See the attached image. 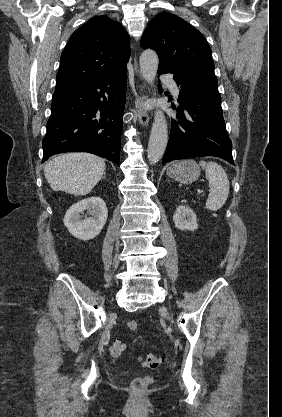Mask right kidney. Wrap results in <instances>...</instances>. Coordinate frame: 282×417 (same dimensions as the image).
Here are the masks:
<instances>
[{
    "label": "right kidney",
    "instance_id": "ca27d5eb",
    "mask_svg": "<svg viewBox=\"0 0 282 417\" xmlns=\"http://www.w3.org/2000/svg\"><path fill=\"white\" fill-rule=\"evenodd\" d=\"M87 211L91 215L90 219H81L80 213ZM108 217L107 206L100 196H89L79 202H75L69 209L63 219L65 227L69 233L81 239L89 241L101 233Z\"/></svg>",
    "mask_w": 282,
    "mask_h": 417
}]
</instances>
